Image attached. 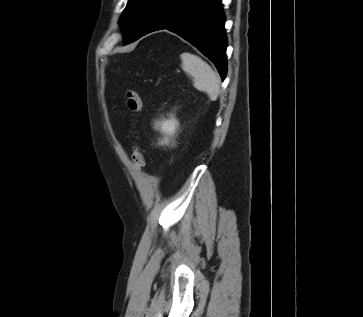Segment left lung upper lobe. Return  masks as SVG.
<instances>
[{
  "label": "left lung upper lobe",
  "instance_id": "5c2ea615",
  "mask_svg": "<svg viewBox=\"0 0 363 317\" xmlns=\"http://www.w3.org/2000/svg\"><path fill=\"white\" fill-rule=\"evenodd\" d=\"M158 0H129L119 23L123 28V40L138 39L145 31Z\"/></svg>",
  "mask_w": 363,
  "mask_h": 317
}]
</instances>
